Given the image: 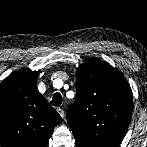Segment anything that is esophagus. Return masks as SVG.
I'll list each match as a JSON object with an SVG mask.
<instances>
[{
	"instance_id": "34e87169",
	"label": "esophagus",
	"mask_w": 147,
	"mask_h": 147,
	"mask_svg": "<svg viewBox=\"0 0 147 147\" xmlns=\"http://www.w3.org/2000/svg\"><path fill=\"white\" fill-rule=\"evenodd\" d=\"M56 110H57V112L59 113V115H60L62 118H64V116H65V115H64V110H63L62 108H60V107L57 108Z\"/></svg>"
}]
</instances>
